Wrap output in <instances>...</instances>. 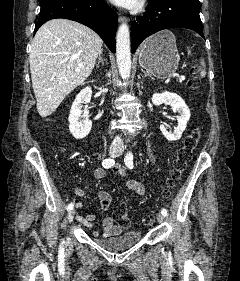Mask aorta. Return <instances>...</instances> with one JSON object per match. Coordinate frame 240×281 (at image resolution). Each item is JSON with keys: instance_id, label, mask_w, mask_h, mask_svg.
Segmentation results:
<instances>
[{"instance_id": "aorta-1", "label": "aorta", "mask_w": 240, "mask_h": 281, "mask_svg": "<svg viewBox=\"0 0 240 281\" xmlns=\"http://www.w3.org/2000/svg\"><path fill=\"white\" fill-rule=\"evenodd\" d=\"M116 59L118 70L123 79L131 72L130 31L126 23L119 26L116 34Z\"/></svg>"}]
</instances>
